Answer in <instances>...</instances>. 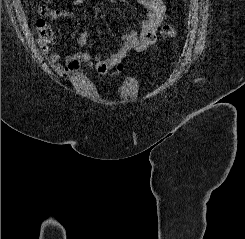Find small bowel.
I'll return each instance as SVG.
<instances>
[{"mask_svg":"<svg viewBox=\"0 0 245 239\" xmlns=\"http://www.w3.org/2000/svg\"><path fill=\"white\" fill-rule=\"evenodd\" d=\"M85 0H73L74 5H80ZM146 10V17L141 23L140 31L130 30L123 39L120 47L110 56L104 58L88 51L75 52L61 56L52 52L46 59L52 69L61 77L68 78L78 73L83 67L93 69L99 77L109 76L111 79L123 71L122 60L130 51H145L156 42V32L162 23L166 7L162 0H137ZM74 13L67 9L53 10L49 16L51 21L73 18ZM89 34L82 33L78 38L80 47L88 45Z\"/></svg>","mask_w":245,"mask_h":239,"instance_id":"small-bowel-1","label":"small bowel"}]
</instances>
